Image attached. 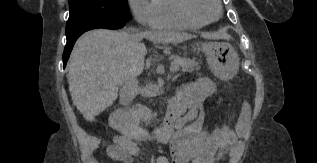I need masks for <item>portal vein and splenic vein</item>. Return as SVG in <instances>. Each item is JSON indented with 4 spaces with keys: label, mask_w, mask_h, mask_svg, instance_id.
<instances>
[{
    "label": "portal vein and splenic vein",
    "mask_w": 317,
    "mask_h": 163,
    "mask_svg": "<svg viewBox=\"0 0 317 163\" xmlns=\"http://www.w3.org/2000/svg\"><path fill=\"white\" fill-rule=\"evenodd\" d=\"M179 68L177 66H171V70L177 71Z\"/></svg>",
    "instance_id": "18ae733b"
}]
</instances>
